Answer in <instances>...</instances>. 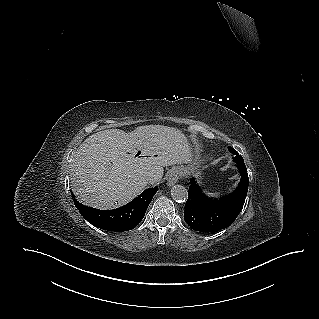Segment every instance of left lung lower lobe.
Instances as JSON below:
<instances>
[{
	"mask_svg": "<svg viewBox=\"0 0 319 319\" xmlns=\"http://www.w3.org/2000/svg\"><path fill=\"white\" fill-rule=\"evenodd\" d=\"M241 179L234 192L226 197L211 199L204 195L195 179L190 181L184 220L195 231L216 232L230 226L241 212L248 191L245 164L236 165Z\"/></svg>",
	"mask_w": 319,
	"mask_h": 319,
	"instance_id": "left-lung-lower-lobe-1",
	"label": "left lung lower lobe"
}]
</instances>
